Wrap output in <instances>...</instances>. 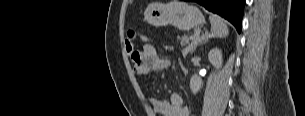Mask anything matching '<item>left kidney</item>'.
Listing matches in <instances>:
<instances>
[{
    "mask_svg": "<svg viewBox=\"0 0 305 116\" xmlns=\"http://www.w3.org/2000/svg\"><path fill=\"white\" fill-rule=\"evenodd\" d=\"M208 59H209L210 63L217 70H219L222 67L223 57H222V51L220 49H218V48L212 49L208 53ZM202 86H203L202 79L197 75H193L190 79V89H191L192 93L197 94L200 91V89L202 88Z\"/></svg>",
    "mask_w": 305,
    "mask_h": 116,
    "instance_id": "obj_1",
    "label": "left kidney"
}]
</instances>
